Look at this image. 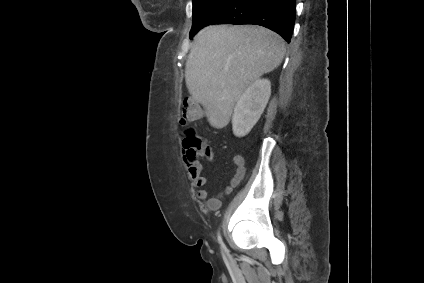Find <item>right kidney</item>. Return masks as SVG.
Returning a JSON list of instances; mask_svg holds the SVG:
<instances>
[{"instance_id":"right-kidney-1","label":"right kidney","mask_w":424,"mask_h":283,"mask_svg":"<svg viewBox=\"0 0 424 283\" xmlns=\"http://www.w3.org/2000/svg\"><path fill=\"white\" fill-rule=\"evenodd\" d=\"M270 95V81L268 79H257L239 97L232 117L235 136L243 137L251 131L260 119Z\"/></svg>"}]
</instances>
